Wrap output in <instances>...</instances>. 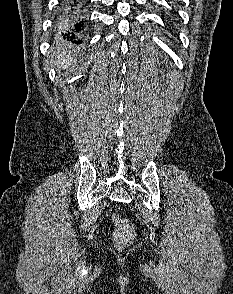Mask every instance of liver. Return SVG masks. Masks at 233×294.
Returning a JSON list of instances; mask_svg holds the SVG:
<instances>
[{"instance_id": "1", "label": "liver", "mask_w": 233, "mask_h": 294, "mask_svg": "<svg viewBox=\"0 0 233 294\" xmlns=\"http://www.w3.org/2000/svg\"><path fill=\"white\" fill-rule=\"evenodd\" d=\"M72 64V58L70 55H66L65 53H58L56 59L54 61V65L60 69H66Z\"/></svg>"}]
</instances>
